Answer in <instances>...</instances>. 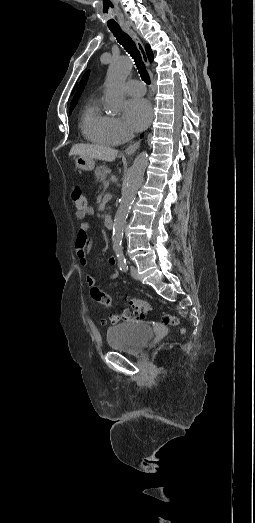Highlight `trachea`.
Returning a JSON list of instances; mask_svg holds the SVG:
<instances>
[{"label":"trachea","mask_w":255,"mask_h":523,"mask_svg":"<svg viewBox=\"0 0 255 523\" xmlns=\"http://www.w3.org/2000/svg\"><path fill=\"white\" fill-rule=\"evenodd\" d=\"M109 30H111L117 42L125 48L126 52L130 53L143 82H145L147 85H150L151 82L149 74L146 70L145 64L142 61L141 54L136 47L135 42L128 35V33L123 32L120 27L109 28Z\"/></svg>","instance_id":"trachea-1"}]
</instances>
